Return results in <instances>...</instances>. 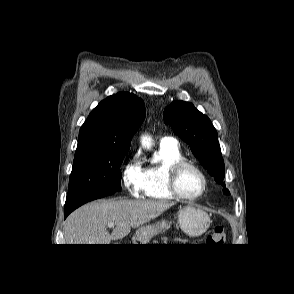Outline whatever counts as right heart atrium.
<instances>
[{
	"label": "right heart atrium",
	"instance_id": "d8ad5b80",
	"mask_svg": "<svg viewBox=\"0 0 294 294\" xmlns=\"http://www.w3.org/2000/svg\"><path fill=\"white\" fill-rule=\"evenodd\" d=\"M122 184L132 197L143 194L144 166L138 151L134 152L122 170Z\"/></svg>",
	"mask_w": 294,
	"mask_h": 294
}]
</instances>
